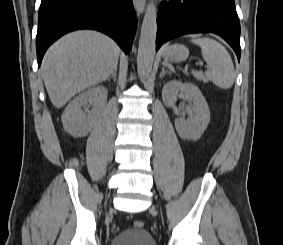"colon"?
<instances>
[{"mask_svg": "<svg viewBox=\"0 0 283 245\" xmlns=\"http://www.w3.org/2000/svg\"><path fill=\"white\" fill-rule=\"evenodd\" d=\"M143 226H144L143 221H141V220H136V221H134V227H135V228H137V229H142Z\"/></svg>", "mask_w": 283, "mask_h": 245, "instance_id": "1", "label": "colon"}]
</instances>
